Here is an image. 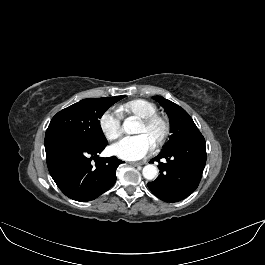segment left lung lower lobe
I'll return each mask as SVG.
<instances>
[{
	"mask_svg": "<svg viewBox=\"0 0 265 265\" xmlns=\"http://www.w3.org/2000/svg\"><path fill=\"white\" fill-rule=\"evenodd\" d=\"M165 159L163 163L160 160ZM159 163L160 175L148 183L151 192L165 202H178L195 191L206 164L203 136L161 151L151 162Z\"/></svg>",
	"mask_w": 265,
	"mask_h": 265,
	"instance_id": "1",
	"label": "left lung lower lobe"
}]
</instances>
